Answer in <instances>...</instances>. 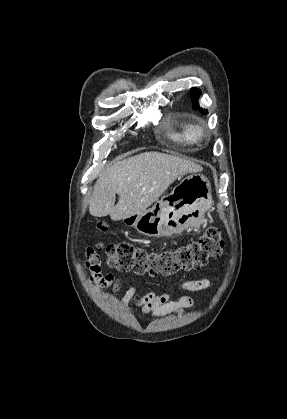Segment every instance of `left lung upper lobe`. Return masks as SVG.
<instances>
[{
    "label": "left lung upper lobe",
    "mask_w": 287,
    "mask_h": 419,
    "mask_svg": "<svg viewBox=\"0 0 287 419\" xmlns=\"http://www.w3.org/2000/svg\"><path fill=\"white\" fill-rule=\"evenodd\" d=\"M190 92H191V98H192V101H193V108L195 109V110H199L202 114H207L208 113V111L207 110H205V109H203V108H201L200 106H199V104H198V99H199V96H200V94H201V92H200V90L199 89H197V88H191L190 89Z\"/></svg>",
    "instance_id": "5c2ea615"
}]
</instances>
